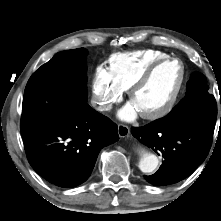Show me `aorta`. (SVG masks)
Masks as SVG:
<instances>
[{"label":"aorta","instance_id":"aorta-1","mask_svg":"<svg viewBox=\"0 0 221 221\" xmlns=\"http://www.w3.org/2000/svg\"><path fill=\"white\" fill-rule=\"evenodd\" d=\"M158 166V158L156 155L143 152L139 161V168L144 173L153 172Z\"/></svg>","mask_w":221,"mask_h":221}]
</instances>
